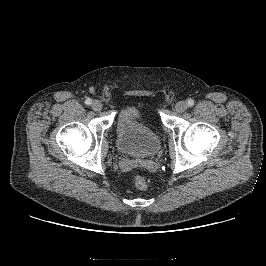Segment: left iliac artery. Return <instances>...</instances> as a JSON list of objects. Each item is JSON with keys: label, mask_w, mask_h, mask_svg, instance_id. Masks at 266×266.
<instances>
[{"label": "left iliac artery", "mask_w": 266, "mask_h": 266, "mask_svg": "<svg viewBox=\"0 0 266 266\" xmlns=\"http://www.w3.org/2000/svg\"><path fill=\"white\" fill-rule=\"evenodd\" d=\"M187 104L190 107L193 106L194 105V100L193 99H188Z\"/></svg>", "instance_id": "obj_1"}]
</instances>
